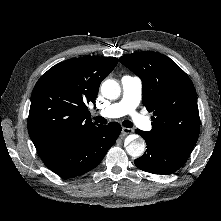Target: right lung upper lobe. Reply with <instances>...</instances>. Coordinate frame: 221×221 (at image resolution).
<instances>
[{
  "label": "right lung upper lobe",
  "mask_w": 221,
  "mask_h": 221,
  "mask_svg": "<svg viewBox=\"0 0 221 221\" xmlns=\"http://www.w3.org/2000/svg\"><path fill=\"white\" fill-rule=\"evenodd\" d=\"M117 58L86 56L61 62L37 81L31 96L28 132L37 152L85 136L98 126L89 118L100 83Z\"/></svg>",
  "instance_id": "cb5924a9"
}]
</instances>
